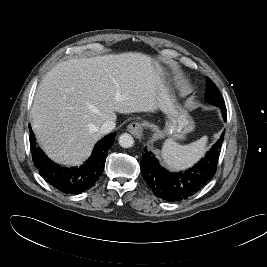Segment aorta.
Instances as JSON below:
<instances>
[{
    "label": "aorta",
    "instance_id": "762f6f07",
    "mask_svg": "<svg viewBox=\"0 0 267 267\" xmlns=\"http://www.w3.org/2000/svg\"><path fill=\"white\" fill-rule=\"evenodd\" d=\"M119 145L123 148H131L134 146V139L128 133H123L119 137Z\"/></svg>",
    "mask_w": 267,
    "mask_h": 267
}]
</instances>
